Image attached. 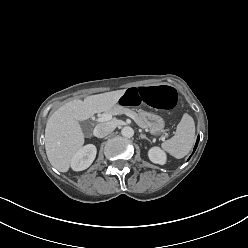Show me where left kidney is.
Wrapping results in <instances>:
<instances>
[{"instance_id":"1","label":"left kidney","mask_w":248,"mask_h":248,"mask_svg":"<svg viewBox=\"0 0 248 248\" xmlns=\"http://www.w3.org/2000/svg\"><path fill=\"white\" fill-rule=\"evenodd\" d=\"M148 156L155 164L163 165L166 163V154L159 147L151 148L148 152Z\"/></svg>"}]
</instances>
